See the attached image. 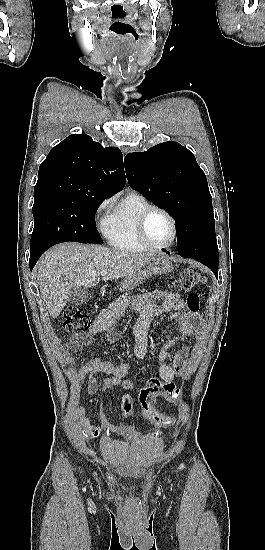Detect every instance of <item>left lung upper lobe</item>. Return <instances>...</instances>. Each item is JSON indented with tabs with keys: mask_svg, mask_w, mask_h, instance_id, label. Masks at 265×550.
<instances>
[{
	"mask_svg": "<svg viewBox=\"0 0 265 550\" xmlns=\"http://www.w3.org/2000/svg\"><path fill=\"white\" fill-rule=\"evenodd\" d=\"M124 165L129 185L174 218L180 255L203 250L218 255L207 179L187 148L164 142L127 154Z\"/></svg>",
	"mask_w": 265,
	"mask_h": 550,
	"instance_id": "5c2ea615",
	"label": "left lung upper lobe"
}]
</instances>
